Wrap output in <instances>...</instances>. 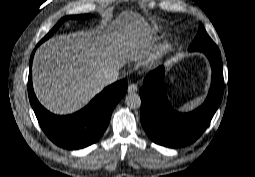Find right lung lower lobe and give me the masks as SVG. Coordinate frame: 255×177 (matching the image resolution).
Returning a JSON list of instances; mask_svg holds the SVG:
<instances>
[{
    "label": "right lung lower lobe",
    "instance_id": "obj_1",
    "mask_svg": "<svg viewBox=\"0 0 255 177\" xmlns=\"http://www.w3.org/2000/svg\"><path fill=\"white\" fill-rule=\"evenodd\" d=\"M28 80V94L38 122L46 135L58 146L67 149L87 147L102 136L113 109L127 91L125 80L105 88L85 108L72 115L58 116L47 111L37 100L32 87V59Z\"/></svg>",
    "mask_w": 255,
    "mask_h": 177
}]
</instances>
